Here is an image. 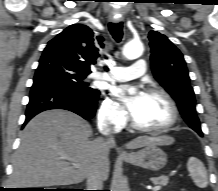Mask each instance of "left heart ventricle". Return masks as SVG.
<instances>
[{
    "label": "left heart ventricle",
    "instance_id": "b2bd125f",
    "mask_svg": "<svg viewBox=\"0 0 218 191\" xmlns=\"http://www.w3.org/2000/svg\"><path fill=\"white\" fill-rule=\"evenodd\" d=\"M144 127H162L171 119V110L164 98L146 94L144 101L133 116Z\"/></svg>",
    "mask_w": 218,
    "mask_h": 191
}]
</instances>
